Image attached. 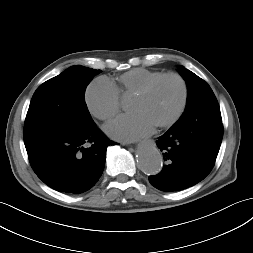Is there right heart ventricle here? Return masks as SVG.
I'll return each instance as SVG.
<instances>
[{
    "mask_svg": "<svg viewBox=\"0 0 253 253\" xmlns=\"http://www.w3.org/2000/svg\"><path fill=\"white\" fill-rule=\"evenodd\" d=\"M161 74L163 73L160 71L135 68L118 76L113 86L117 90L119 96H133L146 83Z\"/></svg>",
    "mask_w": 253,
    "mask_h": 253,
    "instance_id": "e07e8e85",
    "label": "right heart ventricle"
}]
</instances>
